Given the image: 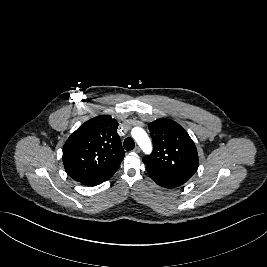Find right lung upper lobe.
<instances>
[{
	"instance_id": "obj_1",
	"label": "right lung upper lobe",
	"mask_w": 267,
	"mask_h": 267,
	"mask_svg": "<svg viewBox=\"0 0 267 267\" xmlns=\"http://www.w3.org/2000/svg\"><path fill=\"white\" fill-rule=\"evenodd\" d=\"M118 122L101 115L82 124L63 147L66 172L76 181L118 168L124 150L117 134Z\"/></svg>"
}]
</instances>
